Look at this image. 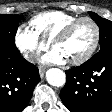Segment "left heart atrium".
Returning <instances> with one entry per match:
<instances>
[{"instance_id":"1","label":"left heart atrium","mask_w":112,"mask_h":112,"mask_svg":"<svg viewBox=\"0 0 112 112\" xmlns=\"http://www.w3.org/2000/svg\"><path fill=\"white\" fill-rule=\"evenodd\" d=\"M43 62L46 63H65L66 62V58L57 50H53L50 53L46 54L43 58H42Z\"/></svg>"}]
</instances>
